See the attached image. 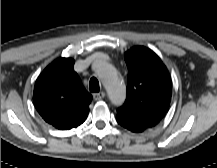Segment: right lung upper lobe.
Segmentation results:
<instances>
[{
  "label": "right lung upper lobe",
  "instance_id": "obj_1",
  "mask_svg": "<svg viewBox=\"0 0 217 168\" xmlns=\"http://www.w3.org/2000/svg\"><path fill=\"white\" fill-rule=\"evenodd\" d=\"M74 59L60 57L48 65L35 82L33 101L42 118L59 130L82 124L92 95L74 71Z\"/></svg>",
  "mask_w": 217,
  "mask_h": 168
}]
</instances>
